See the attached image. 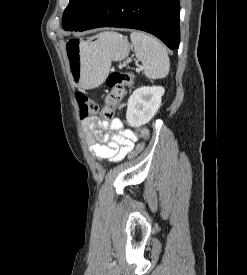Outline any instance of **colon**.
<instances>
[{
  "label": "colon",
  "mask_w": 247,
  "mask_h": 275,
  "mask_svg": "<svg viewBox=\"0 0 247 275\" xmlns=\"http://www.w3.org/2000/svg\"><path fill=\"white\" fill-rule=\"evenodd\" d=\"M134 76L127 71H113L107 79L106 85L110 89L105 97V104L102 109V115L106 119L113 117L115 108L122 100L125 92V87L132 85ZM76 99L79 106V115L81 119H85L99 111V105L87 95L83 93H77ZM136 134L142 140L136 147V149L130 154L131 157L136 156L144 148V142L149 138V131L146 128H137Z\"/></svg>",
  "instance_id": "1"
}]
</instances>
